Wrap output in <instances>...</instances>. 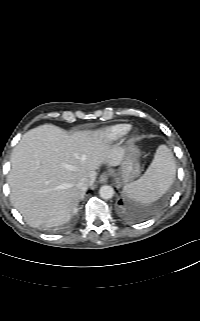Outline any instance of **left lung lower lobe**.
Wrapping results in <instances>:
<instances>
[{
	"mask_svg": "<svg viewBox=\"0 0 200 321\" xmlns=\"http://www.w3.org/2000/svg\"><path fill=\"white\" fill-rule=\"evenodd\" d=\"M118 203H119V205H123V202H122V201H119Z\"/></svg>",
	"mask_w": 200,
	"mask_h": 321,
	"instance_id": "obj_1",
	"label": "left lung lower lobe"
}]
</instances>
